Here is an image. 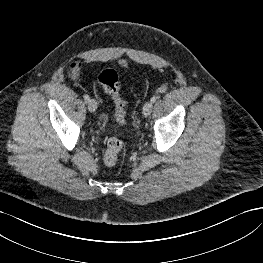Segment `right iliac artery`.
Wrapping results in <instances>:
<instances>
[{
  "label": "right iliac artery",
  "mask_w": 263,
  "mask_h": 263,
  "mask_svg": "<svg viewBox=\"0 0 263 263\" xmlns=\"http://www.w3.org/2000/svg\"><path fill=\"white\" fill-rule=\"evenodd\" d=\"M84 100H85L86 102H88V101L90 100V97H89L87 94H85V95H84Z\"/></svg>",
  "instance_id": "obj_1"
}]
</instances>
